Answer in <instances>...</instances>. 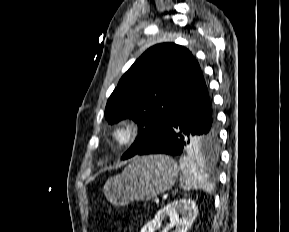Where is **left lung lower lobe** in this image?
<instances>
[{"label":"left lung lower lobe","instance_id":"0a47b994","mask_svg":"<svg viewBox=\"0 0 289 232\" xmlns=\"http://www.w3.org/2000/svg\"><path fill=\"white\" fill-rule=\"evenodd\" d=\"M216 138V117L201 74L178 103L167 126L136 154L181 155L198 150L195 149V144L198 143L206 148L212 145Z\"/></svg>","mask_w":289,"mask_h":232}]
</instances>
